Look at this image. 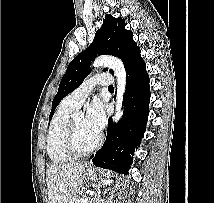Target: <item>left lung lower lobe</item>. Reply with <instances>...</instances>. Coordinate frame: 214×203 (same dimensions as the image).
<instances>
[{"label":"left lung lower lobe","mask_w":214,"mask_h":203,"mask_svg":"<svg viewBox=\"0 0 214 203\" xmlns=\"http://www.w3.org/2000/svg\"><path fill=\"white\" fill-rule=\"evenodd\" d=\"M124 112L120 122L108 121L107 137L102 148L90 159L93 164L127 174L135 149L144 135L149 114V77L140 51L126 67Z\"/></svg>","instance_id":"1"}]
</instances>
